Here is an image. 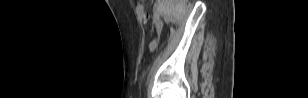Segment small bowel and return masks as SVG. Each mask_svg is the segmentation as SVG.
I'll list each match as a JSON object with an SVG mask.
<instances>
[{
  "mask_svg": "<svg viewBox=\"0 0 308 98\" xmlns=\"http://www.w3.org/2000/svg\"><path fill=\"white\" fill-rule=\"evenodd\" d=\"M156 29L157 31L159 32L161 30V25L160 24H156ZM155 46H156V42L153 41L151 44H150V49L151 50H154L155 49Z\"/></svg>",
  "mask_w": 308,
  "mask_h": 98,
  "instance_id": "c3829d8e",
  "label": "small bowel"
}]
</instances>
